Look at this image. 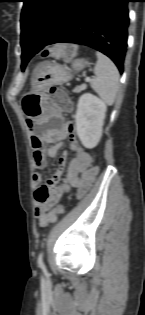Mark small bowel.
<instances>
[{"instance_id": "1", "label": "small bowel", "mask_w": 145, "mask_h": 315, "mask_svg": "<svg viewBox=\"0 0 145 315\" xmlns=\"http://www.w3.org/2000/svg\"><path fill=\"white\" fill-rule=\"evenodd\" d=\"M29 127H32V125L29 124ZM72 132L73 124L70 122L66 128L60 130L56 135V140L59 142L49 147L44 146L45 142H50L53 139L51 130H46L40 140L37 138L30 140V147L33 148V168L35 170H43L46 167V157H56L62 147L61 141L66 139ZM71 150L74 152V157L71 159L67 174L62 180L61 177L66 163V154H63L59 158L55 173L45 184H42V176L40 173L33 175V184L36 187L35 198L38 201L35 207V215L41 227H46L51 224L45 223L44 218L48 216L50 213L49 209L53 205L65 194L69 193L71 189L76 190V198H82L88 192L98 174V167L92 165L91 157L88 152L78 145L73 138Z\"/></svg>"}]
</instances>
